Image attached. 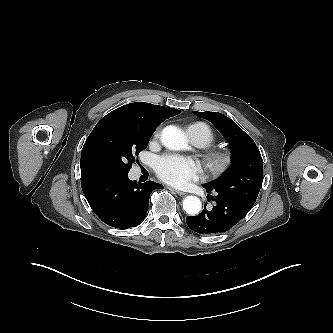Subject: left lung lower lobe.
I'll list each match as a JSON object with an SVG mask.
<instances>
[{
  "label": "left lung lower lobe",
  "mask_w": 333,
  "mask_h": 333,
  "mask_svg": "<svg viewBox=\"0 0 333 333\" xmlns=\"http://www.w3.org/2000/svg\"><path fill=\"white\" fill-rule=\"evenodd\" d=\"M202 186L209 194L216 192L215 197L208 195L216 204L210 211L204 208L199 215L186 217L187 225L197 233L213 235L226 232L245 217L254 205L243 198L212 190L206 184Z\"/></svg>",
  "instance_id": "1"
}]
</instances>
